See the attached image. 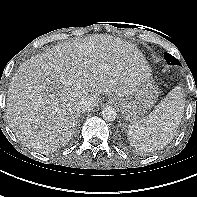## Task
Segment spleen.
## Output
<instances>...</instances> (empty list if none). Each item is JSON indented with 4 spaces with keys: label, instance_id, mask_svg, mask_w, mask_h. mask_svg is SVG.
Here are the masks:
<instances>
[{
    "label": "spleen",
    "instance_id": "1",
    "mask_svg": "<svg viewBox=\"0 0 197 197\" xmlns=\"http://www.w3.org/2000/svg\"><path fill=\"white\" fill-rule=\"evenodd\" d=\"M184 107L185 91L177 86L147 117L128 126L127 136L130 144L144 152L163 148L174 138L184 114Z\"/></svg>",
    "mask_w": 197,
    "mask_h": 197
}]
</instances>
